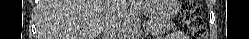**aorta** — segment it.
Listing matches in <instances>:
<instances>
[{"label": "aorta", "mask_w": 249, "mask_h": 39, "mask_svg": "<svg viewBox=\"0 0 249 39\" xmlns=\"http://www.w3.org/2000/svg\"><path fill=\"white\" fill-rule=\"evenodd\" d=\"M138 19L133 14L131 17H129V23L127 27L126 37L127 39H136L139 35L138 28Z\"/></svg>", "instance_id": "762f6f07"}]
</instances>
